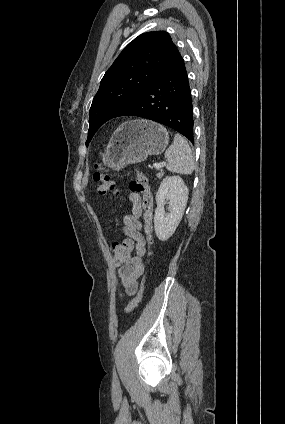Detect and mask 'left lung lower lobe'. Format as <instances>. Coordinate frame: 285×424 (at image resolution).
Segmentation results:
<instances>
[{"mask_svg":"<svg viewBox=\"0 0 285 424\" xmlns=\"http://www.w3.org/2000/svg\"><path fill=\"white\" fill-rule=\"evenodd\" d=\"M120 116L153 120L194 142L191 90L184 60L177 48L160 75L115 117Z\"/></svg>","mask_w":285,"mask_h":424,"instance_id":"obj_1","label":"left lung lower lobe"}]
</instances>
